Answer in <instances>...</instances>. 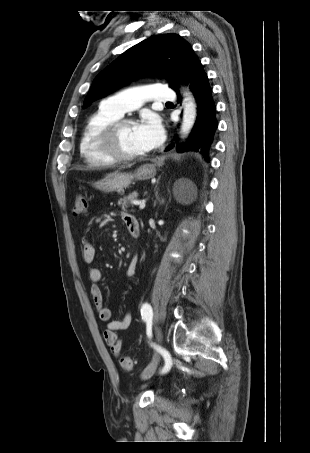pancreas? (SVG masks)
I'll use <instances>...</instances> for the list:
<instances>
[{
	"instance_id": "1",
	"label": "pancreas",
	"mask_w": 310,
	"mask_h": 453,
	"mask_svg": "<svg viewBox=\"0 0 310 453\" xmlns=\"http://www.w3.org/2000/svg\"><path fill=\"white\" fill-rule=\"evenodd\" d=\"M138 197L137 192H132L128 196H124L118 201V205L121 206L122 210H126L131 206V201L136 200Z\"/></svg>"
}]
</instances>
